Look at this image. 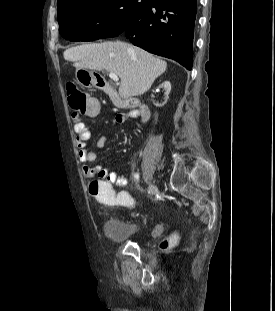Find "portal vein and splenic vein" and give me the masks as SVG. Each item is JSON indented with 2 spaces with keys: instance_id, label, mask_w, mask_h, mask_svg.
<instances>
[{
  "instance_id": "18ae733b",
  "label": "portal vein and splenic vein",
  "mask_w": 275,
  "mask_h": 311,
  "mask_svg": "<svg viewBox=\"0 0 275 311\" xmlns=\"http://www.w3.org/2000/svg\"><path fill=\"white\" fill-rule=\"evenodd\" d=\"M109 77L115 82L119 81V77L115 73L110 72Z\"/></svg>"
}]
</instances>
